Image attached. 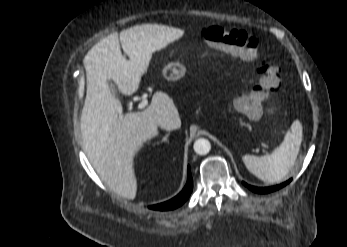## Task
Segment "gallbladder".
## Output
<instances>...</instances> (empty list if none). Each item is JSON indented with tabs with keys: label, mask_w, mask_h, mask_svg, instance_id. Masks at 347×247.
Listing matches in <instances>:
<instances>
[{
	"label": "gallbladder",
	"mask_w": 347,
	"mask_h": 247,
	"mask_svg": "<svg viewBox=\"0 0 347 247\" xmlns=\"http://www.w3.org/2000/svg\"><path fill=\"white\" fill-rule=\"evenodd\" d=\"M109 87H110V90H111L113 93L116 92V87H115V85H114L113 83H110V84H109Z\"/></svg>",
	"instance_id": "obj_1"
}]
</instances>
